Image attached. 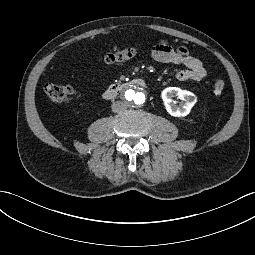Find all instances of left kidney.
<instances>
[{
  "label": "left kidney",
  "mask_w": 255,
  "mask_h": 255,
  "mask_svg": "<svg viewBox=\"0 0 255 255\" xmlns=\"http://www.w3.org/2000/svg\"><path fill=\"white\" fill-rule=\"evenodd\" d=\"M172 97H177L183 102L178 106L171 100ZM161 98L164 102V106L168 114L173 117H186L189 115L191 109L197 102V97L194 93L188 90H182L178 87H168L161 92Z\"/></svg>",
  "instance_id": "1"
}]
</instances>
